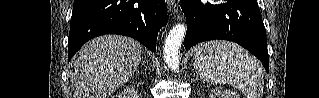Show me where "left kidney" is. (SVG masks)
<instances>
[{
    "label": "left kidney",
    "mask_w": 319,
    "mask_h": 98,
    "mask_svg": "<svg viewBox=\"0 0 319 98\" xmlns=\"http://www.w3.org/2000/svg\"><path fill=\"white\" fill-rule=\"evenodd\" d=\"M209 98H240V96L231 90H221L219 88H215L210 92Z\"/></svg>",
    "instance_id": "obj_1"
}]
</instances>
